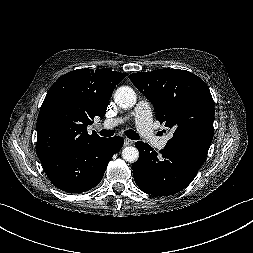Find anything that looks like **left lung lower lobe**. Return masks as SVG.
Wrapping results in <instances>:
<instances>
[{"label":"left lung lower lobe","mask_w":253,"mask_h":253,"mask_svg":"<svg viewBox=\"0 0 253 253\" xmlns=\"http://www.w3.org/2000/svg\"><path fill=\"white\" fill-rule=\"evenodd\" d=\"M139 159L132 170L137 186L154 196H168L183 190L195 177L207 156L200 147L173 150L165 147L158 155L146 143L138 141Z\"/></svg>","instance_id":"0a47b994"}]
</instances>
